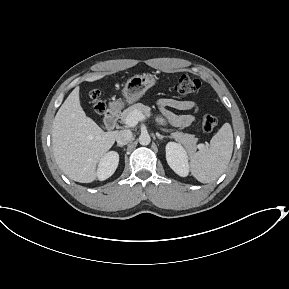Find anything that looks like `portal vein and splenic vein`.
Instances as JSON below:
<instances>
[{"instance_id": "18ae733b", "label": "portal vein and splenic vein", "mask_w": 289, "mask_h": 289, "mask_svg": "<svg viewBox=\"0 0 289 289\" xmlns=\"http://www.w3.org/2000/svg\"><path fill=\"white\" fill-rule=\"evenodd\" d=\"M143 120H145V115L139 111H134L127 117L125 124L128 127H135L139 121Z\"/></svg>"}]
</instances>
